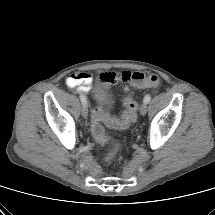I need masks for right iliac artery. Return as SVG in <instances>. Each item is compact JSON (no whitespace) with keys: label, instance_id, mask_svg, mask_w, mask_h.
I'll list each match as a JSON object with an SVG mask.
<instances>
[{"label":"right iliac artery","instance_id":"82829eb1","mask_svg":"<svg viewBox=\"0 0 215 215\" xmlns=\"http://www.w3.org/2000/svg\"><path fill=\"white\" fill-rule=\"evenodd\" d=\"M80 100H81L82 104L86 103V97L82 94L80 95Z\"/></svg>","mask_w":215,"mask_h":215}]
</instances>
